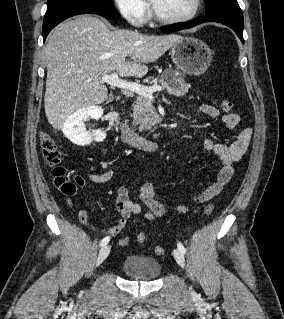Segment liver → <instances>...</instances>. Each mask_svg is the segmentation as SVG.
<instances>
[{
	"label": "liver",
	"instance_id": "obj_1",
	"mask_svg": "<svg viewBox=\"0 0 284 319\" xmlns=\"http://www.w3.org/2000/svg\"><path fill=\"white\" fill-rule=\"evenodd\" d=\"M182 36L144 35L111 31L98 17L80 15L50 34L44 50L47 64L45 113L54 129L63 128L77 110L107 98L101 77L117 71L121 77L141 78L147 63L161 57ZM130 57L126 61V57Z\"/></svg>",
	"mask_w": 284,
	"mask_h": 319
}]
</instances>
